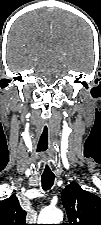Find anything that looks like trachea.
I'll use <instances>...</instances> for the list:
<instances>
[{"label":"trachea","mask_w":101,"mask_h":225,"mask_svg":"<svg viewBox=\"0 0 101 225\" xmlns=\"http://www.w3.org/2000/svg\"><path fill=\"white\" fill-rule=\"evenodd\" d=\"M55 176L54 175H46L41 177V183L43 190L47 191L49 190L54 182Z\"/></svg>","instance_id":"obj_1"}]
</instances>
